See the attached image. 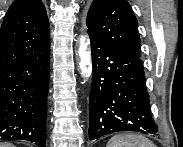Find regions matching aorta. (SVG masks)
<instances>
[{
  "label": "aorta",
  "mask_w": 183,
  "mask_h": 147,
  "mask_svg": "<svg viewBox=\"0 0 183 147\" xmlns=\"http://www.w3.org/2000/svg\"><path fill=\"white\" fill-rule=\"evenodd\" d=\"M85 36H81L80 38V45H79V67L81 70V75L84 78H88L92 73V64H91V52L88 50V46L86 43Z\"/></svg>",
  "instance_id": "762f6f07"
}]
</instances>
